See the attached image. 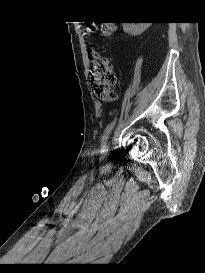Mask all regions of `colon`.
<instances>
[{
	"instance_id": "colon-1",
	"label": "colon",
	"mask_w": 205,
	"mask_h": 273,
	"mask_svg": "<svg viewBox=\"0 0 205 273\" xmlns=\"http://www.w3.org/2000/svg\"><path fill=\"white\" fill-rule=\"evenodd\" d=\"M113 21H103L100 24L101 31L104 34H110L114 29ZM91 25H86V31H93ZM88 57L91 63L90 87L93 95L104 101L115 99L114 86L117 83L116 76L112 72L110 62L107 57L103 56L94 48L88 50Z\"/></svg>"
}]
</instances>
